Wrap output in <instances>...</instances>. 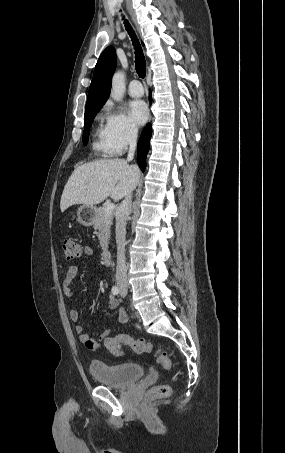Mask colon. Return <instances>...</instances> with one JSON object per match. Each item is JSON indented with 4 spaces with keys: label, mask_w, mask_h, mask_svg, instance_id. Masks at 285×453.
I'll use <instances>...</instances> for the list:
<instances>
[{
    "label": "colon",
    "mask_w": 285,
    "mask_h": 453,
    "mask_svg": "<svg viewBox=\"0 0 285 453\" xmlns=\"http://www.w3.org/2000/svg\"><path fill=\"white\" fill-rule=\"evenodd\" d=\"M62 245L67 260L72 261L80 255V245L73 238H65ZM123 345L129 346L136 354H153L156 361L166 370H169L172 366L168 354L161 349H156L151 342L145 339H133L127 334H117L114 337L105 339L106 348L115 356L122 354ZM170 393L171 388L169 385L156 386L150 392L151 396L157 398L167 397Z\"/></svg>",
    "instance_id": "1"
}]
</instances>
